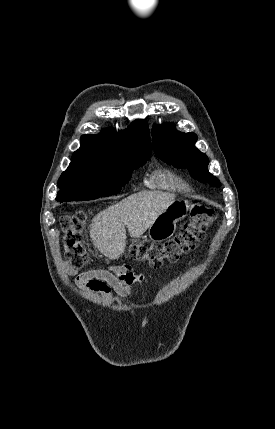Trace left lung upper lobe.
I'll use <instances>...</instances> for the list:
<instances>
[{"mask_svg": "<svg viewBox=\"0 0 275 429\" xmlns=\"http://www.w3.org/2000/svg\"><path fill=\"white\" fill-rule=\"evenodd\" d=\"M152 136L155 154L161 160L177 168H188L191 176L200 182L221 186L207 169L208 157L195 147L196 134L179 132L174 125L164 124L155 126Z\"/></svg>", "mask_w": 275, "mask_h": 429, "instance_id": "1", "label": "left lung upper lobe"}]
</instances>
